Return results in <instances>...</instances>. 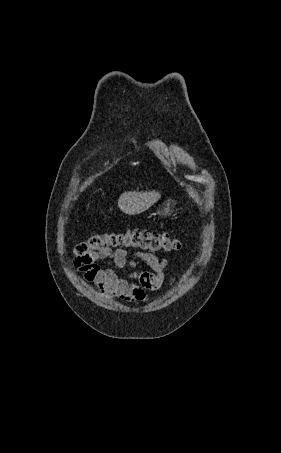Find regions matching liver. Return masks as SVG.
<instances>
[{"label":"liver","mask_w":281,"mask_h":453,"mask_svg":"<svg viewBox=\"0 0 281 453\" xmlns=\"http://www.w3.org/2000/svg\"><path fill=\"white\" fill-rule=\"evenodd\" d=\"M161 194L156 190L150 192H123L118 198V206L125 214H139L150 208L154 202L159 200Z\"/></svg>","instance_id":"liver-1"}]
</instances>
